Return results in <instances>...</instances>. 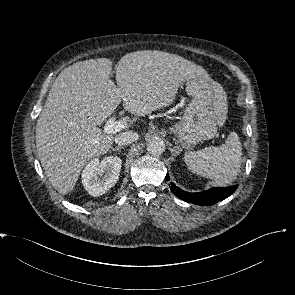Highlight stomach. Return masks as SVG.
Here are the masks:
<instances>
[{
  "label": "stomach",
  "mask_w": 295,
  "mask_h": 295,
  "mask_svg": "<svg viewBox=\"0 0 295 295\" xmlns=\"http://www.w3.org/2000/svg\"><path fill=\"white\" fill-rule=\"evenodd\" d=\"M186 92L192 100L170 131L178 143L188 148L215 136L226 119L227 96L219 83L202 76L187 80Z\"/></svg>",
  "instance_id": "stomach-1"
}]
</instances>
